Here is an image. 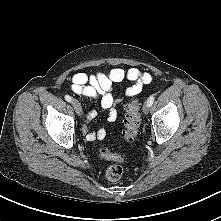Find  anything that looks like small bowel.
I'll use <instances>...</instances> for the list:
<instances>
[{
  "label": "small bowel",
  "mask_w": 221,
  "mask_h": 221,
  "mask_svg": "<svg viewBox=\"0 0 221 221\" xmlns=\"http://www.w3.org/2000/svg\"><path fill=\"white\" fill-rule=\"evenodd\" d=\"M152 75L148 72H142L136 67L127 70L122 68H113L109 73H97L87 75L85 73H76L71 79V90L77 94L92 99H97L100 106L107 112V121L112 123L117 119L118 111L116 105L125 99L131 98L139 94L142 87L152 82ZM124 80L131 82L124 92L119 96H114L111 91L113 85ZM96 117L94 110L86 114L88 121ZM83 133L88 141L103 140L106 137V130L99 129L91 132L87 125L83 127Z\"/></svg>",
  "instance_id": "small-bowel-1"
}]
</instances>
